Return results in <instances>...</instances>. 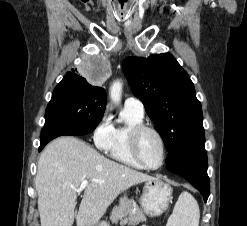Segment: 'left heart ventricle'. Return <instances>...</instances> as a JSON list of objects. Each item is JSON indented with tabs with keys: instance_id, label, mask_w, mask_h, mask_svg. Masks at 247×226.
I'll return each mask as SVG.
<instances>
[{
	"instance_id": "b2bd125f",
	"label": "left heart ventricle",
	"mask_w": 247,
	"mask_h": 226,
	"mask_svg": "<svg viewBox=\"0 0 247 226\" xmlns=\"http://www.w3.org/2000/svg\"><path fill=\"white\" fill-rule=\"evenodd\" d=\"M138 149L143 161L151 166L158 165L162 157L161 143L157 136L149 131L141 134Z\"/></svg>"
}]
</instances>
